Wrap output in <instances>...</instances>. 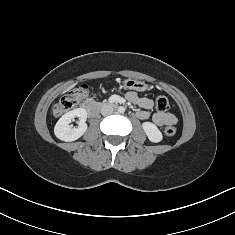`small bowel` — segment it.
<instances>
[{
    "instance_id": "1",
    "label": "small bowel",
    "mask_w": 235,
    "mask_h": 235,
    "mask_svg": "<svg viewBox=\"0 0 235 235\" xmlns=\"http://www.w3.org/2000/svg\"><path fill=\"white\" fill-rule=\"evenodd\" d=\"M127 99L133 104L139 106L141 109L137 111L136 115L140 119H147L150 116L149 110L153 106V100L149 97H139L135 92L127 94ZM153 122L157 126H164L175 124L177 119L174 114L170 112H157L153 115Z\"/></svg>"
}]
</instances>
